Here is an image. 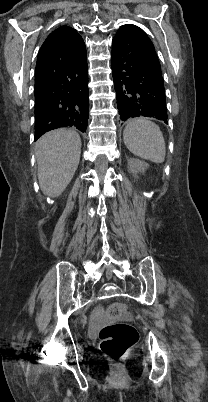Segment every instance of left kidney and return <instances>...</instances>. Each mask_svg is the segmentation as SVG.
I'll return each instance as SVG.
<instances>
[{"label":"left kidney","mask_w":208,"mask_h":402,"mask_svg":"<svg viewBox=\"0 0 208 402\" xmlns=\"http://www.w3.org/2000/svg\"><path fill=\"white\" fill-rule=\"evenodd\" d=\"M148 164L142 162V160H135V158H128V170L131 174H138V172H145L147 170Z\"/></svg>","instance_id":"left-kidney-1"}]
</instances>
